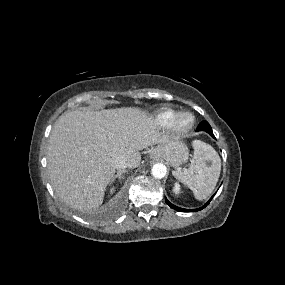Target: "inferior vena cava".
<instances>
[{
    "mask_svg": "<svg viewBox=\"0 0 285 285\" xmlns=\"http://www.w3.org/2000/svg\"><path fill=\"white\" fill-rule=\"evenodd\" d=\"M114 166L117 170H124L125 168L129 167L127 160L121 156L116 157L114 159Z\"/></svg>",
    "mask_w": 285,
    "mask_h": 285,
    "instance_id": "602c4592",
    "label": "inferior vena cava"
}]
</instances>
